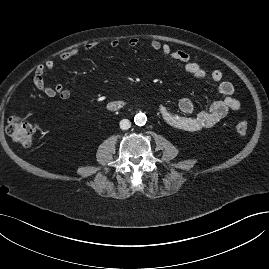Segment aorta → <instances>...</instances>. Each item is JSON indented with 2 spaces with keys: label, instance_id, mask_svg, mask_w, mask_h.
I'll return each instance as SVG.
<instances>
[{
  "label": "aorta",
  "instance_id": "aorta-1",
  "mask_svg": "<svg viewBox=\"0 0 269 269\" xmlns=\"http://www.w3.org/2000/svg\"><path fill=\"white\" fill-rule=\"evenodd\" d=\"M146 121H147V117L144 113H138L134 117V122L138 126L145 125Z\"/></svg>",
  "mask_w": 269,
  "mask_h": 269
}]
</instances>
